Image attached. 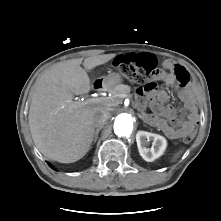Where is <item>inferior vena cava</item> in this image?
Returning <instances> with one entry per match:
<instances>
[{
	"label": "inferior vena cava",
	"mask_w": 221,
	"mask_h": 221,
	"mask_svg": "<svg viewBox=\"0 0 221 221\" xmlns=\"http://www.w3.org/2000/svg\"><path fill=\"white\" fill-rule=\"evenodd\" d=\"M110 113L108 111H102L95 115L94 117V124L96 127H103L106 122L110 118Z\"/></svg>",
	"instance_id": "obj_1"
}]
</instances>
